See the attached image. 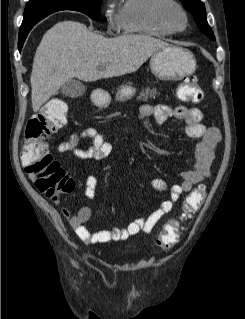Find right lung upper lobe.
<instances>
[{
  "label": "right lung upper lobe",
  "mask_w": 245,
  "mask_h": 319,
  "mask_svg": "<svg viewBox=\"0 0 245 319\" xmlns=\"http://www.w3.org/2000/svg\"><path fill=\"white\" fill-rule=\"evenodd\" d=\"M44 1V0H42ZM56 12L55 10H47V9H37L36 11H33L28 17L31 19L28 25L25 28H21L20 30L27 29L29 27L34 26L37 22H39L41 19L45 18L49 14Z\"/></svg>",
  "instance_id": "obj_1"
}]
</instances>
